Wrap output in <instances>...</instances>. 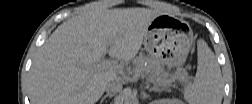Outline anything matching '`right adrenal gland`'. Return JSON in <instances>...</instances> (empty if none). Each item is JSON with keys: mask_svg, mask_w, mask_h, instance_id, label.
I'll list each match as a JSON object with an SVG mask.
<instances>
[{"mask_svg": "<svg viewBox=\"0 0 252 104\" xmlns=\"http://www.w3.org/2000/svg\"><path fill=\"white\" fill-rule=\"evenodd\" d=\"M113 96H114V94H110V93L104 95V96L102 97L101 101H100V104H102V103L104 102V100H105L107 97L112 98Z\"/></svg>", "mask_w": 252, "mask_h": 104, "instance_id": "right-adrenal-gland-1", "label": "right adrenal gland"}]
</instances>
